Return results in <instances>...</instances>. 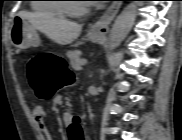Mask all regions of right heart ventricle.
Returning a JSON list of instances; mask_svg holds the SVG:
<instances>
[{"mask_svg": "<svg viewBox=\"0 0 182 140\" xmlns=\"http://www.w3.org/2000/svg\"><path fill=\"white\" fill-rule=\"evenodd\" d=\"M60 0H32L31 8L38 13L53 16H63Z\"/></svg>", "mask_w": 182, "mask_h": 140, "instance_id": "right-heart-ventricle-1", "label": "right heart ventricle"}]
</instances>
